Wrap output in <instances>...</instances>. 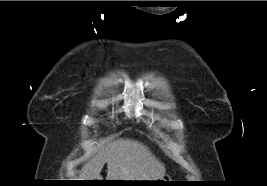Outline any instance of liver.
Listing matches in <instances>:
<instances>
[{
    "label": "liver",
    "instance_id": "1",
    "mask_svg": "<svg viewBox=\"0 0 267 186\" xmlns=\"http://www.w3.org/2000/svg\"><path fill=\"white\" fill-rule=\"evenodd\" d=\"M107 163V180L155 181L165 174V166L138 141L119 139L98 150L82 167L81 180H101Z\"/></svg>",
    "mask_w": 267,
    "mask_h": 186
}]
</instances>
